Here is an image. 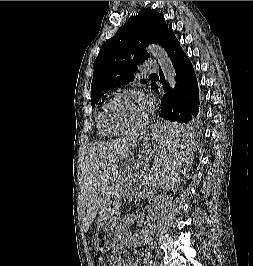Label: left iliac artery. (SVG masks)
Returning a JSON list of instances; mask_svg holds the SVG:
<instances>
[{
	"label": "left iliac artery",
	"instance_id": "44dca946",
	"mask_svg": "<svg viewBox=\"0 0 253 266\" xmlns=\"http://www.w3.org/2000/svg\"><path fill=\"white\" fill-rule=\"evenodd\" d=\"M154 266H159V264L155 262Z\"/></svg>",
	"mask_w": 253,
	"mask_h": 266
}]
</instances>
